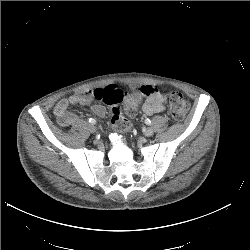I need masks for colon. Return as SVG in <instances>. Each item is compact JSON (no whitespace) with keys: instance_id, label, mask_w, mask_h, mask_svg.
<instances>
[{"instance_id":"5ec220e1","label":"colon","mask_w":250,"mask_h":250,"mask_svg":"<svg viewBox=\"0 0 250 250\" xmlns=\"http://www.w3.org/2000/svg\"><path fill=\"white\" fill-rule=\"evenodd\" d=\"M96 100L101 101L111 107L112 124L116 131L126 132L129 124L123 113H133L141 100L139 92L123 91L117 86H108L103 89H96L93 92ZM169 113L175 120H182L189 109L186 98L178 92H172L168 96Z\"/></svg>"}]
</instances>
